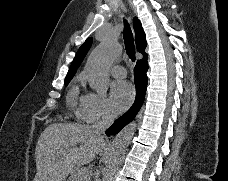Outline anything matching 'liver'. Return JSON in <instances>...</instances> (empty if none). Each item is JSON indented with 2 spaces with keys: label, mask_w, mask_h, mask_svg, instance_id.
<instances>
[{
  "label": "liver",
  "mask_w": 228,
  "mask_h": 181,
  "mask_svg": "<svg viewBox=\"0 0 228 181\" xmlns=\"http://www.w3.org/2000/svg\"><path fill=\"white\" fill-rule=\"evenodd\" d=\"M106 143V137L94 133L90 125H49L37 141L33 181H66L75 165L91 163Z\"/></svg>",
  "instance_id": "6515ba94"
}]
</instances>
